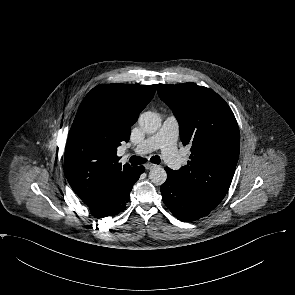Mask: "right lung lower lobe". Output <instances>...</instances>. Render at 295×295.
<instances>
[{
    "instance_id": "98d812e1",
    "label": "right lung lower lobe",
    "mask_w": 295,
    "mask_h": 295,
    "mask_svg": "<svg viewBox=\"0 0 295 295\" xmlns=\"http://www.w3.org/2000/svg\"><path fill=\"white\" fill-rule=\"evenodd\" d=\"M144 171L143 166L131 167L112 181L102 185L86 203L91 214L97 218H103L122 212L129 202L134 183Z\"/></svg>"
}]
</instances>
